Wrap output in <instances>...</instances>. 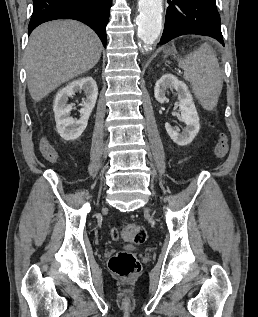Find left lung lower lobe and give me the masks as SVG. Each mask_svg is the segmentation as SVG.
<instances>
[{"label":"left lung lower lobe","instance_id":"1","mask_svg":"<svg viewBox=\"0 0 258 317\" xmlns=\"http://www.w3.org/2000/svg\"><path fill=\"white\" fill-rule=\"evenodd\" d=\"M168 4L159 44L181 35L197 34L215 38L224 46L215 0H169Z\"/></svg>","mask_w":258,"mask_h":317}]
</instances>
